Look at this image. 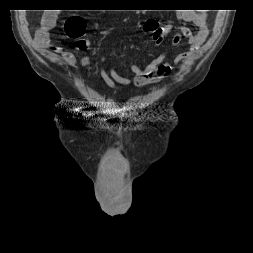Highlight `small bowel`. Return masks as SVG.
<instances>
[{"label":"small bowel","mask_w":253,"mask_h":253,"mask_svg":"<svg viewBox=\"0 0 253 253\" xmlns=\"http://www.w3.org/2000/svg\"><path fill=\"white\" fill-rule=\"evenodd\" d=\"M184 18L196 26L198 30L193 31L188 26H177L171 23L160 25L156 19H148L144 24V29L147 33L151 34L152 43L156 47H161L169 32L175 28L177 32L172 38V45L175 48L179 47L181 38L184 36L188 39L189 51L178 54L172 63L169 62L167 52H162L145 67L133 64L131 66V71L133 73L132 78L122 76L114 68L109 72L105 69H101L100 75L106 85L116 90H123V86L129 84H134L137 87H144L168 77L173 70L177 69L182 61L190 58L194 54L205 42L209 34L207 18L204 12L190 13ZM55 25L56 16L53 13L45 14L42 18L41 26L35 32V41L39 46L61 54L68 65L74 66L77 64L76 56L72 52L63 50L61 47L51 42L50 34ZM104 60V58H101V62ZM79 63L82 66H88L92 62L89 57L84 56L79 60Z\"/></svg>","instance_id":"obj_1"}]
</instances>
